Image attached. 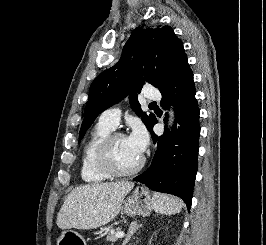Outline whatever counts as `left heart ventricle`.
I'll return each mask as SVG.
<instances>
[{
    "label": "left heart ventricle",
    "mask_w": 266,
    "mask_h": 245,
    "mask_svg": "<svg viewBox=\"0 0 266 245\" xmlns=\"http://www.w3.org/2000/svg\"><path fill=\"white\" fill-rule=\"evenodd\" d=\"M137 156L129 147L126 137H117L112 145V162L120 172L130 171L139 161Z\"/></svg>",
    "instance_id": "b2bd125f"
}]
</instances>
